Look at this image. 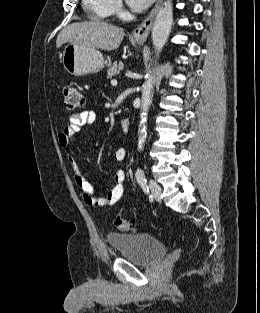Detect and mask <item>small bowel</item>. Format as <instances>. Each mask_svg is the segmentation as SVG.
<instances>
[{
    "label": "small bowel",
    "mask_w": 260,
    "mask_h": 313,
    "mask_svg": "<svg viewBox=\"0 0 260 313\" xmlns=\"http://www.w3.org/2000/svg\"><path fill=\"white\" fill-rule=\"evenodd\" d=\"M97 122V115L93 111L85 110L72 114L68 119V124L57 135L58 145L66 148L73 136L84 126H92ZM113 158L116 162H123L126 158V150L117 149ZM68 163L74 174V181L81 190L84 202L93 207L112 206L123 196L125 192V172L118 171L114 176V185L107 196L97 197L92 185L81 174L78 164L74 157L68 156Z\"/></svg>",
    "instance_id": "1"
}]
</instances>
